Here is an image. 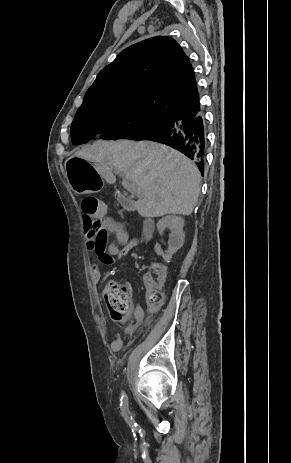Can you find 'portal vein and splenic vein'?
<instances>
[{
	"instance_id": "18ae733b",
	"label": "portal vein and splenic vein",
	"mask_w": 291,
	"mask_h": 463,
	"mask_svg": "<svg viewBox=\"0 0 291 463\" xmlns=\"http://www.w3.org/2000/svg\"><path fill=\"white\" fill-rule=\"evenodd\" d=\"M123 186L127 189V191H129L130 193L132 194H136V195H140V190L137 188V185L136 183L128 180V179H125L123 180L122 182Z\"/></svg>"
}]
</instances>
